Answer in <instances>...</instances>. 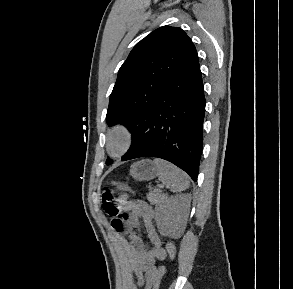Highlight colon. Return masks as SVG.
I'll list each match as a JSON object with an SVG mask.
<instances>
[{
    "label": "colon",
    "instance_id": "1",
    "mask_svg": "<svg viewBox=\"0 0 293 289\" xmlns=\"http://www.w3.org/2000/svg\"><path fill=\"white\" fill-rule=\"evenodd\" d=\"M113 186L119 191H131L130 187L123 182H113ZM103 210L104 212L112 217L113 219L122 216L120 206L115 200L114 192L112 190H106L103 193ZM122 225H116V228H121ZM166 250L169 256V259L173 261L176 257V247L172 241H168L166 244ZM165 268L161 267L155 276L151 279L150 284L153 289H158L161 281L165 275Z\"/></svg>",
    "mask_w": 293,
    "mask_h": 289
}]
</instances>
